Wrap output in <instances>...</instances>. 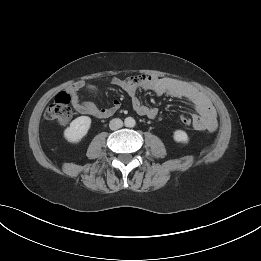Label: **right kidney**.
Masks as SVG:
<instances>
[{
  "label": "right kidney",
  "instance_id": "obj_1",
  "mask_svg": "<svg viewBox=\"0 0 261 261\" xmlns=\"http://www.w3.org/2000/svg\"><path fill=\"white\" fill-rule=\"evenodd\" d=\"M90 125V117H77L70 123L69 127L64 130V138L70 143H78L88 133Z\"/></svg>",
  "mask_w": 261,
  "mask_h": 261
}]
</instances>
